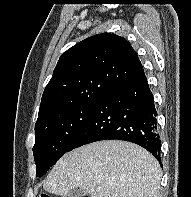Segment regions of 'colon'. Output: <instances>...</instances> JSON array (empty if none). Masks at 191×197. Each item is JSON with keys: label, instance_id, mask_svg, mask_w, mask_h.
<instances>
[{"label": "colon", "instance_id": "colon-1", "mask_svg": "<svg viewBox=\"0 0 191 197\" xmlns=\"http://www.w3.org/2000/svg\"><path fill=\"white\" fill-rule=\"evenodd\" d=\"M39 197H51L50 195L46 194V193H43L41 194Z\"/></svg>", "mask_w": 191, "mask_h": 197}]
</instances>
